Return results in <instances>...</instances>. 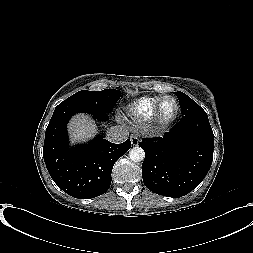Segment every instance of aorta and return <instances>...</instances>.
<instances>
[{
  "mask_svg": "<svg viewBox=\"0 0 253 253\" xmlns=\"http://www.w3.org/2000/svg\"><path fill=\"white\" fill-rule=\"evenodd\" d=\"M129 158L133 162H141L145 158V152L139 146L133 147L129 150Z\"/></svg>",
  "mask_w": 253,
  "mask_h": 253,
  "instance_id": "aorta-1",
  "label": "aorta"
}]
</instances>
